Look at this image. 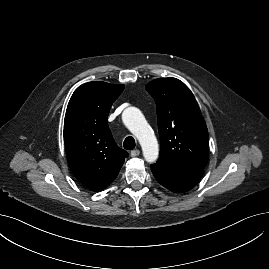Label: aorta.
<instances>
[{
	"mask_svg": "<svg viewBox=\"0 0 269 269\" xmlns=\"http://www.w3.org/2000/svg\"><path fill=\"white\" fill-rule=\"evenodd\" d=\"M122 120L125 126L138 139L145 160L148 163H154L158 159L159 146L156 136L142 112L135 107H129L124 110Z\"/></svg>",
	"mask_w": 269,
	"mask_h": 269,
	"instance_id": "762f6f07",
	"label": "aorta"
}]
</instances>
